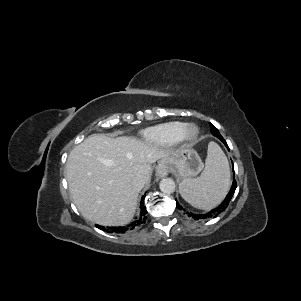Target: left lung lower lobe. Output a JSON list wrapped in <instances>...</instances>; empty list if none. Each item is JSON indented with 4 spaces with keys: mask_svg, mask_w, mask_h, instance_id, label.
<instances>
[{
    "mask_svg": "<svg viewBox=\"0 0 301 301\" xmlns=\"http://www.w3.org/2000/svg\"><path fill=\"white\" fill-rule=\"evenodd\" d=\"M212 134H213L214 136H216L217 138H219V139L225 144V146L229 149V147H228L226 141L223 139V137L221 136V134L219 133V131H212ZM233 172H234V166H233ZM233 175H234V174H233ZM233 178H235V175L233 176ZM236 187H237L236 180H233L232 186H231L230 191H229V193L227 194L226 198H225L224 201H223L218 207H216L215 209L211 210L210 212H208V213H206V214H193V213L187 212L188 216H189V217H192V218L195 219V220H199V219H207V218H213V217L218 216V214H219L220 212L224 211V210L227 208V206H228V204H229V202H230V200H231V198H232V196H233V194H234V192H235V190H236ZM176 206H177L180 210L183 209V208L178 204V202H176ZM184 211H185V210H184Z\"/></svg>",
    "mask_w": 301,
    "mask_h": 301,
    "instance_id": "0a47b994",
    "label": "left lung lower lobe"
}]
</instances>
